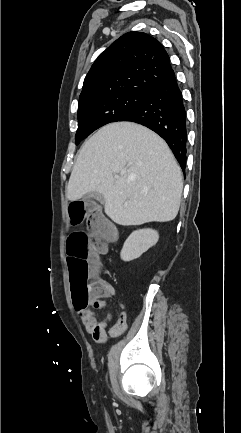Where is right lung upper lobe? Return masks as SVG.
<instances>
[{
    "label": "right lung upper lobe",
    "mask_w": 241,
    "mask_h": 433,
    "mask_svg": "<svg viewBox=\"0 0 241 433\" xmlns=\"http://www.w3.org/2000/svg\"><path fill=\"white\" fill-rule=\"evenodd\" d=\"M174 75L161 43L145 33L132 31L96 59L85 77L79 103L125 91L145 93Z\"/></svg>",
    "instance_id": "1"
}]
</instances>
